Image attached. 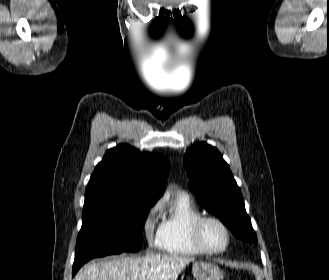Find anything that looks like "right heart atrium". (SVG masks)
Returning <instances> with one entry per match:
<instances>
[{
	"instance_id": "d8ad5b80",
	"label": "right heart atrium",
	"mask_w": 329,
	"mask_h": 280,
	"mask_svg": "<svg viewBox=\"0 0 329 280\" xmlns=\"http://www.w3.org/2000/svg\"><path fill=\"white\" fill-rule=\"evenodd\" d=\"M163 207V200L154 202L147 210L143 222L142 230L147 243L151 247H157L160 244L163 230V223L159 220V215Z\"/></svg>"
}]
</instances>
